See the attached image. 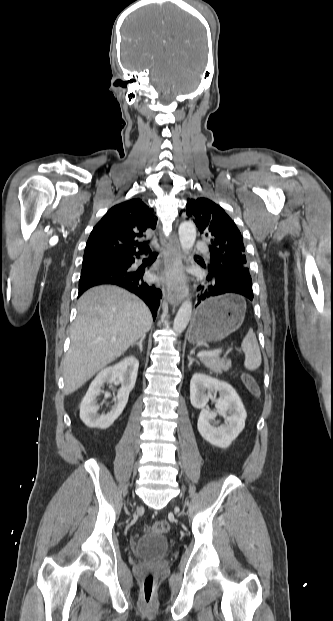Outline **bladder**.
<instances>
[{
  "mask_svg": "<svg viewBox=\"0 0 333 621\" xmlns=\"http://www.w3.org/2000/svg\"><path fill=\"white\" fill-rule=\"evenodd\" d=\"M168 540L163 535L146 534L139 538L134 546V555L138 558L157 559L167 555Z\"/></svg>",
  "mask_w": 333,
  "mask_h": 621,
  "instance_id": "1",
  "label": "bladder"
}]
</instances>
